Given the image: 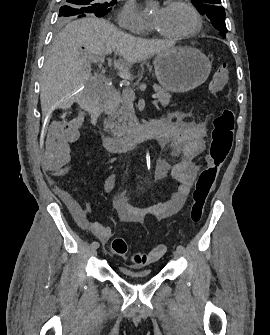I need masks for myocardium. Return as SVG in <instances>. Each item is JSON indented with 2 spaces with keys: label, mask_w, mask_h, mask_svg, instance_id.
I'll list each match as a JSON object with an SVG mask.
<instances>
[{
  "label": "myocardium",
  "mask_w": 270,
  "mask_h": 335,
  "mask_svg": "<svg viewBox=\"0 0 270 335\" xmlns=\"http://www.w3.org/2000/svg\"><path fill=\"white\" fill-rule=\"evenodd\" d=\"M173 7H180V6H185L188 8V10L192 13L194 19H195V25L194 27L187 32L181 33V34H176V35H164L165 37L168 38H175V39H186L189 38L193 35H195L196 33H198L202 26H203V20L199 14V12L197 11V9L194 7V5L191 2H173L172 3ZM183 51H192L190 49H184ZM173 78H179V77H173ZM199 78H205V77H199Z\"/></svg>",
  "instance_id": "myocardium-1"
}]
</instances>
